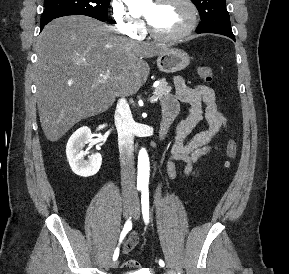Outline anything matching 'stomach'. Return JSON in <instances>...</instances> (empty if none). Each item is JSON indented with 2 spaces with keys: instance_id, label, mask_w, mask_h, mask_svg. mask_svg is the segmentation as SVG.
Segmentation results:
<instances>
[{
  "instance_id": "1",
  "label": "stomach",
  "mask_w": 289,
  "mask_h": 274,
  "mask_svg": "<svg viewBox=\"0 0 289 274\" xmlns=\"http://www.w3.org/2000/svg\"><path fill=\"white\" fill-rule=\"evenodd\" d=\"M190 63L189 55L181 49H167L157 58V67L165 73H174L185 69Z\"/></svg>"
}]
</instances>
